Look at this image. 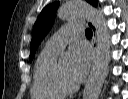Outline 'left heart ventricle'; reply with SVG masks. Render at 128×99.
<instances>
[{"label": "left heart ventricle", "instance_id": "obj_1", "mask_svg": "<svg viewBox=\"0 0 128 99\" xmlns=\"http://www.w3.org/2000/svg\"><path fill=\"white\" fill-rule=\"evenodd\" d=\"M71 62L69 60L60 63V70L63 75L65 82L69 85L76 84L70 74Z\"/></svg>", "mask_w": 128, "mask_h": 99}]
</instances>
